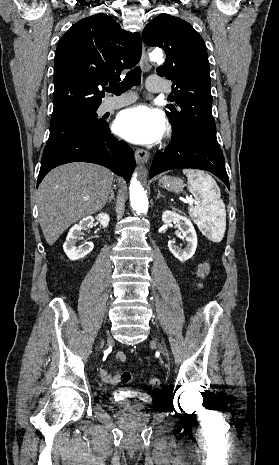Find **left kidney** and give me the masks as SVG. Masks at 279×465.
I'll list each match as a JSON object with an SVG mask.
<instances>
[{"label":"left kidney","mask_w":279,"mask_h":465,"mask_svg":"<svg viewBox=\"0 0 279 465\" xmlns=\"http://www.w3.org/2000/svg\"><path fill=\"white\" fill-rule=\"evenodd\" d=\"M162 221L164 223H176V226L182 232L181 238H184L187 242L186 248L182 250L175 245V241L170 240L168 242L170 252L180 262L190 259L195 254L197 248V234L192 222L188 218L169 210L162 214Z\"/></svg>","instance_id":"left-kidney-1"}]
</instances>
